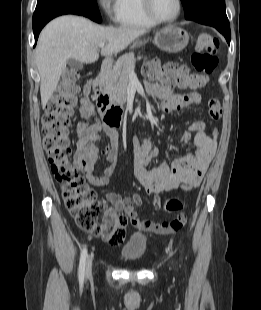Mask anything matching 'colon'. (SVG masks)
I'll return each mask as SVG.
<instances>
[{"instance_id":"colon-1","label":"colon","mask_w":261,"mask_h":310,"mask_svg":"<svg viewBox=\"0 0 261 310\" xmlns=\"http://www.w3.org/2000/svg\"><path fill=\"white\" fill-rule=\"evenodd\" d=\"M219 49L218 40L208 32H201L194 43L191 64L197 74L175 62L161 65L157 61L149 63L145 72L149 77L159 79L163 85L171 88L195 89L204 85L206 76L210 75L218 65L216 53ZM76 69H68L58 87L57 93L48 104L43 118V146L48 155L52 173L62 186V197L65 206L77 225L95 236L101 237L110 245H120L126 236L127 215L119 213L102 215L104 206L98 200L96 192L85 182L84 178L70 163L71 147L69 141L70 119L77 103ZM208 113L212 120L218 121L222 116V108L218 98L208 101ZM217 136V130L212 131ZM193 183L182 184L184 191L191 190ZM167 212H177L164 223H149L150 231L158 234H173L186 223V215L182 212L183 202L173 198L164 206Z\"/></svg>"}]
</instances>
